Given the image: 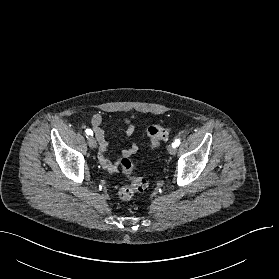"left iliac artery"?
<instances>
[{"label": "left iliac artery", "mask_w": 279, "mask_h": 279, "mask_svg": "<svg viewBox=\"0 0 279 279\" xmlns=\"http://www.w3.org/2000/svg\"><path fill=\"white\" fill-rule=\"evenodd\" d=\"M179 144H180V139H176V140L172 143V146H173V147H177V146H179Z\"/></svg>", "instance_id": "left-iliac-artery-1"}]
</instances>
